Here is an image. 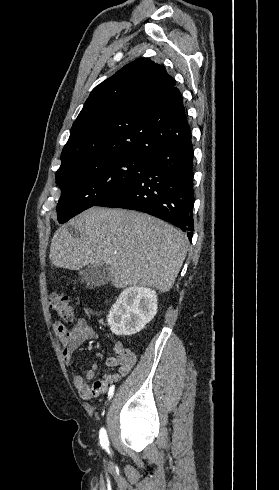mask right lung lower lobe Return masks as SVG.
<instances>
[{"label": "right lung lower lobe", "mask_w": 279, "mask_h": 490, "mask_svg": "<svg viewBox=\"0 0 279 490\" xmlns=\"http://www.w3.org/2000/svg\"><path fill=\"white\" fill-rule=\"evenodd\" d=\"M193 145L191 137L158 153L145 172L94 206L142 211L186 232L194 231Z\"/></svg>", "instance_id": "obj_1"}]
</instances>
